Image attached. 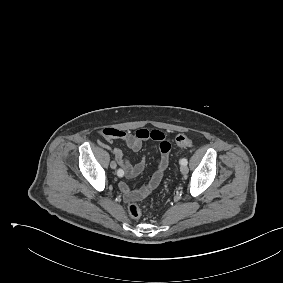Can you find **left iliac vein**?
<instances>
[{
  "instance_id": "4c4485c4",
  "label": "left iliac vein",
  "mask_w": 283,
  "mask_h": 283,
  "mask_svg": "<svg viewBox=\"0 0 283 283\" xmlns=\"http://www.w3.org/2000/svg\"><path fill=\"white\" fill-rule=\"evenodd\" d=\"M180 171H181L182 174L185 175V174L188 173L189 169L186 165H182L181 168H180Z\"/></svg>"
}]
</instances>
